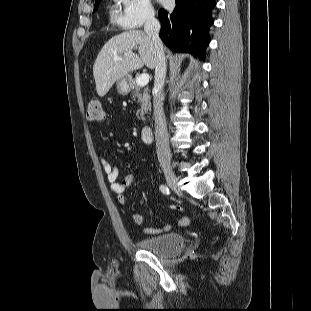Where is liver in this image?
Instances as JSON below:
<instances>
[{"label":"liver","mask_w":311,"mask_h":311,"mask_svg":"<svg viewBox=\"0 0 311 311\" xmlns=\"http://www.w3.org/2000/svg\"><path fill=\"white\" fill-rule=\"evenodd\" d=\"M135 48H138V54L133 52ZM115 57L121 60L115 61ZM144 65L150 69L156 66L155 48L145 32L130 30L112 37L99 52L93 66L98 95L105 96L117 80Z\"/></svg>","instance_id":"obj_1"}]
</instances>
